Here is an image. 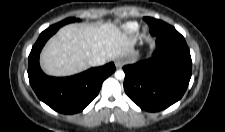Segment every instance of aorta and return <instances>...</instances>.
<instances>
[{"mask_svg": "<svg viewBox=\"0 0 225 132\" xmlns=\"http://www.w3.org/2000/svg\"><path fill=\"white\" fill-rule=\"evenodd\" d=\"M114 75L117 80H123L125 78V73L123 70H117Z\"/></svg>", "mask_w": 225, "mask_h": 132, "instance_id": "1", "label": "aorta"}]
</instances>
